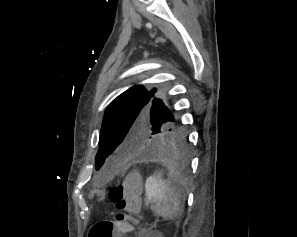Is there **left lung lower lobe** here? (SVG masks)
I'll use <instances>...</instances> for the list:
<instances>
[{
	"instance_id": "1",
	"label": "left lung lower lobe",
	"mask_w": 297,
	"mask_h": 237,
	"mask_svg": "<svg viewBox=\"0 0 297 237\" xmlns=\"http://www.w3.org/2000/svg\"><path fill=\"white\" fill-rule=\"evenodd\" d=\"M171 124L152 141L149 152L144 158L176 157L187 163L189 157V145L184 130L173 117L169 119Z\"/></svg>"
}]
</instances>
